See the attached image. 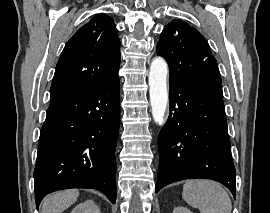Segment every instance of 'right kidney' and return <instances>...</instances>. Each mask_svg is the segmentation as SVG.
<instances>
[{
    "mask_svg": "<svg viewBox=\"0 0 270 213\" xmlns=\"http://www.w3.org/2000/svg\"><path fill=\"white\" fill-rule=\"evenodd\" d=\"M71 213H101L93 200H87L75 206Z\"/></svg>",
    "mask_w": 270,
    "mask_h": 213,
    "instance_id": "ca27d5eb",
    "label": "right kidney"
}]
</instances>
